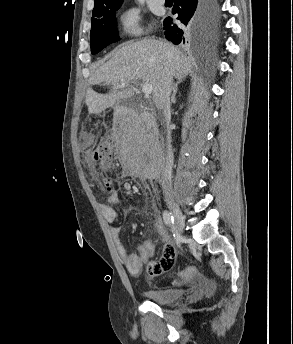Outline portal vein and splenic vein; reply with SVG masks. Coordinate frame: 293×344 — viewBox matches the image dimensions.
I'll return each mask as SVG.
<instances>
[{
  "label": "portal vein and splenic vein",
  "mask_w": 293,
  "mask_h": 344,
  "mask_svg": "<svg viewBox=\"0 0 293 344\" xmlns=\"http://www.w3.org/2000/svg\"><path fill=\"white\" fill-rule=\"evenodd\" d=\"M121 85L125 86V83H122ZM141 89L145 95H150L153 91V86L150 84H144V85H142Z\"/></svg>",
  "instance_id": "18ae733b"
}]
</instances>
